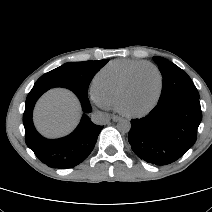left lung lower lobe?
Here are the masks:
<instances>
[{"label":"left lung lower lobe","instance_id":"0a47b994","mask_svg":"<svg viewBox=\"0 0 212 212\" xmlns=\"http://www.w3.org/2000/svg\"><path fill=\"white\" fill-rule=\"evenodd\" d=\"M201 119L199 99L174 96L158 101L147 116L131 120L128 140L140 159L167 165L194 145Z\"/></svg>","mask_w":212,"mask_h":212}]
</instances>
